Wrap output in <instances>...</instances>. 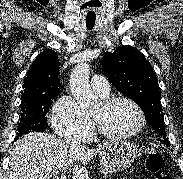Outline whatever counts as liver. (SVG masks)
Listing matches in <instances>:
<instances>
[{
    "mask_svg": "<svg viewBox=\"0 0 183 179\" xmlns=\"http://www.w3.org/2000/svg\"><path fill=\"white\" fill-rule=\"evenodd\" d=\"M107 144L72 150L50 134L29 133L15 142L4 179H51L71 168L72 179H89L86 165Z\"/></svg>",
    "mask_w": 183,
    "mask_h": 179,
    "instance_id": "obj_1",
    "label": "liver"
}]
</instances>
